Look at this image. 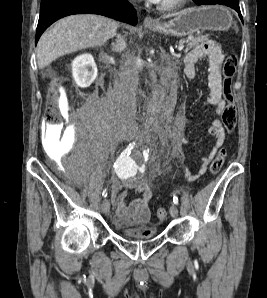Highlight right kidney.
I'll return each mask as SVG.
<instances>
[{
  "label": "right kidney",
  "mask_w": 267,
  "mask_h": 298,
  "mask_svg": "<svg viewBox=\"0 0 267 298\" xmlns=\"http://www.w3.org/2000/svg\"><path fill=\"white\" fill-rule=\"evenodd\" d=\"M72 76L81 88L89 87L97 77V66L91 54H83L72 62Z\"/></svg>",
  "instance_id": "ca27d5eb"
}]
</instances>
